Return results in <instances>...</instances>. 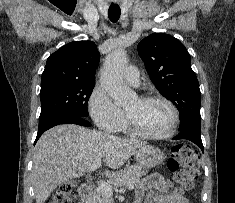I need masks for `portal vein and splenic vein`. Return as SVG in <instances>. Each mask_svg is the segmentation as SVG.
<instances>
[{"label":"portal vein and splenic vein","mask_w":235,"mask_h":203,"mask_svg":"<svg viewBox=\"0 0 235 203\" xmlns=\"http://www.w3.org/2000/svg\"><path fill=\"white\" fill-rule=\"evenodd\" d=\"M101 166V160H97L94 165L89 169V171H94L97 168H99ZM98 187L107 195L112 197L113 196V191H112V187L105 181L103 180H99L97 181ZM128 189L129 190H133L134 189V185L133 184H129L128 185Z\"/></svg>","instance_id":"obj_1"}]
</instances>
